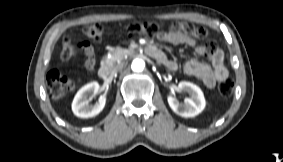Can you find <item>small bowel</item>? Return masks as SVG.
Returning a JSON list of instances; mask_svg holds the SVG:
<instances>
[{
    "instance_id": "1",
    "label": "small bowel",
    "mask_w": 283,
    "mask_h": 162,
    "mask_svg": "<svg viewBox=\"0 0 283 162\" xmlns=\"http://www.w3.org/2000/svg\"><path fill=\"white\" fill-rule=\"evenodd\" d=\"M207 31L204 28L193 27L186 23H176L171 25L168 31H163L158 35L162 41L173 45H187L194 49L198 56H208L211 64L199 60H190L184 65V72L198 78L207 88H213L216 83L228 78V70L224 63V53L217 49L215 41H208L207 45L199 43V38L205 37ZM86 59L84 65L88 71L95 69V55L93 47L87 42L79 44ZM162 62L170 70H176L177 63L164 55Z\"/></svg>"
}]
</instances>
